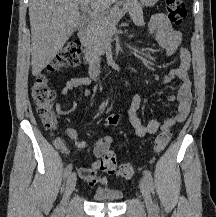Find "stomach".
<instances>
[{
	"mask_svg": "<svg viewBox=\"0 0 216 217\" xmlns=\"http://www.w3.org/2000/svg\"><path fill=\"white\" fill-rule=\"evenodd\" d=\"M159 0H140V3L146 7L154 6Z\"/></svg>",
	"mask_w": 216,
	"mask_h": 217,
	"instance_id": "0dacf381",
	"label": "stomach"
}]
</instances>
